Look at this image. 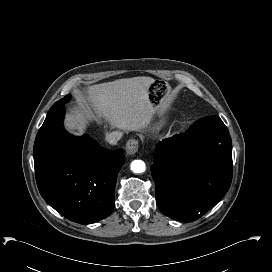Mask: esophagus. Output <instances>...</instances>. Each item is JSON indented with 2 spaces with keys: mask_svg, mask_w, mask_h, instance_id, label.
Segmentation results:
<instances>
[{
  "mask_svg": "<svg viewBox=\"0 0 272 272\" xmlns=\"http://www.w3.org/2000/svg\"><path fill=\"white\" fill-rule=\"evenodd\" d=\"M126 152L128 155H134L138 150V140L137 139H130L126 143Z\"/></svg>",
  "mask_w": 272,
  "mask_h": 272,
  "instance_id": "obj_1",
  "label": "esophagus"
}]
</instances>
